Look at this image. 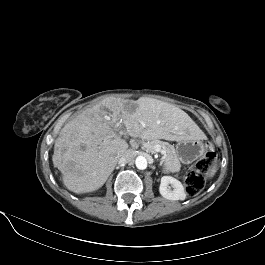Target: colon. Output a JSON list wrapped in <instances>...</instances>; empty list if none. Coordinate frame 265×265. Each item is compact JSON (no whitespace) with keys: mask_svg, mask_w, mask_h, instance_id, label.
Instances as JSON below:
<instances>
[{"mask_svg":"<svg viewBox=\"0 0 265 265\" xmlns=\"http://www.w3.org/2000/svg\"><path fill=\"white\" fill-rule=\"evenodd\" d=\"M216 160V153L211 144L206 145L203 157L186 174V189L190 196H196L205 183V173L212 167Z\"/></svg>","mask_w":265,"mask_h":265,"instance_id":"1","label":"colon"}]
</instances>
